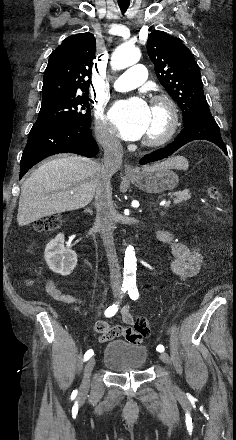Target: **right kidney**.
I'll use <instances>...</instances> for the list:
<instances>
[{"label": "right kidney", "mask_w": 236, "mask_h": 440, "mask_svg": "<svg viewBox=\"0 0 236 440\" xmlns=\"http://www.w3.org/2000/svg\"><path fill=\"white\" fill-rule=\"evenodd\" d=\"M44 258L49 268L62 276L70 275L77 265L75 251L64 247V234H58L45 248Z\"/></svg>", "instance_id": "ca27d5eb"}]
</instances>
